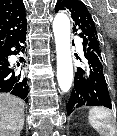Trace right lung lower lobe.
I'll return each instance as SVG.
<instances>
[{
    "mask_svg": "<svg viewBox=\"0 0 117 136\" xmlns=\"http://www.w3.org/2000/svg\"><path fill=\"white\" fill-rule=\"evenodd\" d=\"M26 29L27 26L19 30L5 48L0 50V92H9L24 99L25 102L28 101L27 78L22 69L8 61V56L24 53ZM19 61L24 62V58L20 57ZM17 66L19 67L20 64L17 63Z\"/></svg>",
    "mask_w": 117,
    "mask_h": 136,
    "instance_id": "1",
    "label": "right lung lower lobe"
}]
</instances>
